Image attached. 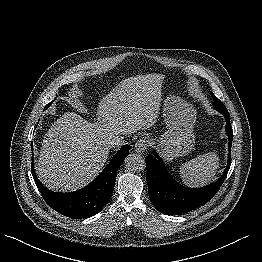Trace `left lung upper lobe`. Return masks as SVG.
<instances>
[{
  "instance_id": "obj_1",
  "label": "left lung upper lobe",
  "mask_w": 262,
  "mask_h": 262,
  "mask_svg": "<svg viewBox=\"0 0 262 262\" xmlns=\"http://www.w3.org/2000/svg\"><path fill=\"white\" fill-rule=\"evenodd\" d=\"M211 95L214 99L213 107L215 110H226V107L222 104V102L211 92Z\"/></svg>"
}]
</instances>
